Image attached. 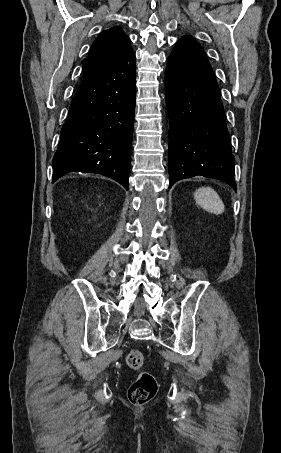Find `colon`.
<instances>
[{"label":"colon","instance_id":"1","mask_svg":"<svg viewBox=\"0 0 281 453\" xmlns=\"http://www.w3.org/2000/svg\"><path fill=\"white\" fill-rule=\"evenodd\" d=\"M125 364L136 374L128 390V400L133 404L151 401L157 393L158 382L154 374L146 371V362L140 351L132 350L124 355Z\"/></svg>","mask_w":281,"mask_h":453}]
</instances>
